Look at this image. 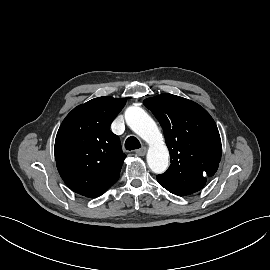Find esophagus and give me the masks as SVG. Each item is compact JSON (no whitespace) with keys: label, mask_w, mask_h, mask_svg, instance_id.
<instances>
[{"label":"esophagus","mask_w":270,"mask_h":270,"mask_svg":"<svg viewBox=\"0 0 270 270\" xmlns=\"http://www.w3.org/2000/svg\"><path fill=\"white\" fill-rule=\"evenodd\" d=\"M146 152H147V148L146 147H142V148H140V149H138L136 151V154L138 156H145L146 155Z\"/></svg>","instance_id":"esophagus-1"}]
</instances>
